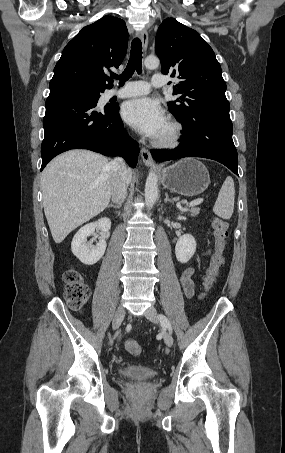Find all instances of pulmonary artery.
<instances>
[{"instance_id": "1", "label": "pulmonary artery", "mask_w": 285, "mask_h": 453, "mask_svg": "<svg viewBox=\"0 0 285 453\" xmlns=\"http://www.w3.org/2000/svg\"><path fill=\"white\" fill-rule=\"evenodd\" d=\"M166 83V76L161 73H156L152 77V85L154 87L163 86ZM149 92V85L145 81H128L124 87L120 89H112L107 95L108 97L129 98L145 95Z\"/></svg>"}]
</instances>
